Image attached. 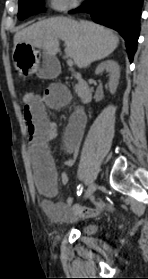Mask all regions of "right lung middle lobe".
<instances>
[{
	"mask_svg": "<svg viewBox=\"0 0 148 279\" xmlns=\"http://www.w3.org/2000/svg\"><path fill=\"white\" fill-rule=\"evenodd\" d=\"M44 0H19L18 18L23 20L28 16L44 11Z\"/></svg>",
	"mask_w": 148,
	"mask_h": 279,
	"instance_id": "dd1d6c3e",
	"label": "right lung middle lobe"
}]
</instances>
